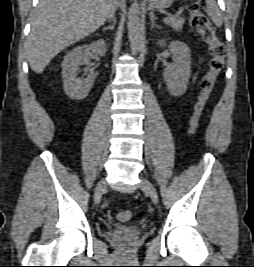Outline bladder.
<instances>
[{
    "instance_id": "obj_1",
    "label": "bladder",
    "mask_w": 254,
    "mask_h": 267,
    "mask_svg": "<svg viewBox=\"0 0 254 267\" xmlns=\"http://www.w3.org/2000/svg\"><path fill=\"white\" fill-rule=\"evenodd\" d=\"M115 229L117 230H128L130 228H126V227H121V226H114Z\"/></svg>"
}]
</instances>
